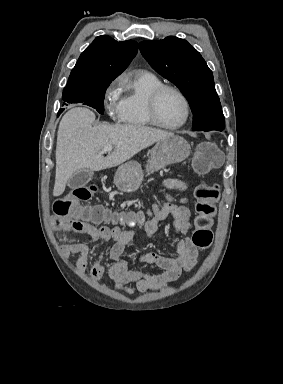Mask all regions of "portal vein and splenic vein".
I'll return each instance as SVG.
<instances>
[{
  "instance_id": "18ae733b",
  "label": "portal vein and splenic vein",
  "mask_w": 283,
  "mask_h": 384,
  "mask_svg": "<svg viewBox=\"0 0 283 384\" xmlns=\"http://www.w3.org/2000/svg\"><path fill=\"white\" fill-rule=\"evenodd\" d=\"M112 150H113L112 144H106V146H104L103 152H112Z\"/></svg>"
}]
</instances>
